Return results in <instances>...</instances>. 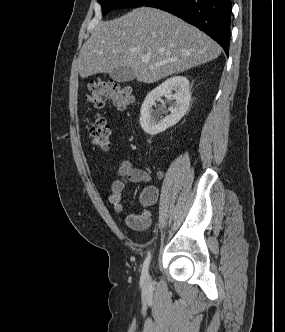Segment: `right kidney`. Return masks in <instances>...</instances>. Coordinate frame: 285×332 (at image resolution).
Wrapping results in <instances>:
<instances>
[{"mask_svg": "<svg viewBox=\"0 0 285 332\" xmlns=\"http://www.w3.org/2000/svg\"><path fill=\"white\" fill-rule=\"evenodd\" d=\"M162 96L171 97L175 104L169 108L170 114L159 120V114L154 113L152 107ZM190 100L189 80L186 77L167 79L146 96L140 111L142 129L149 135H156L174 126L187 112Z\"/></svg>", "mask_w": 285, "mask_h": 332, "instance_id": "ca27d5eb", "label": "right kidney"}]
</instances>
